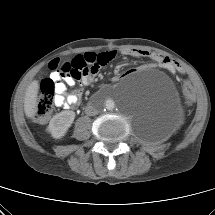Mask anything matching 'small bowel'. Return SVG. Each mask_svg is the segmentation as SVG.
I'll use <instances>...</instances> for the list:
<instances>
[{
    "mask_svg": "<svg viewBox=\"0 0 215 215\" xmlns=\"http://www.w3.org/2000/svg\"><path fill=\"white\" fill-rule=\"evenodd\" d=\"M120 53L122 55L135 58H149L165 68H170L172 65V61L168 57L161 56L146 50L123 49ZM78 56L82 59L85 65L80 78L76 79L68 73L62 74L57 71H53L51 73V77L56 82L55 104L58 107L70 109L78 105L80 102V96L78 94V90L75 88L76 81H80L81 84L85 86L91 84L94 81L96 75L101 70V68L105 67L108 63H110L116 58L117 51L110 50L100 53L86 52ZM118 79L119 77H114L115 81ZM67 87L72 88L71 92L68 94L66 93Z\"/></svg>",
    "mask_w": 215,
    "mask_h": 215,
    "instance_id": "obj_1",
    "label": "small bowel"
}]
</instances>
